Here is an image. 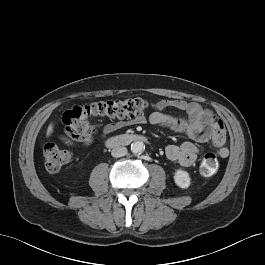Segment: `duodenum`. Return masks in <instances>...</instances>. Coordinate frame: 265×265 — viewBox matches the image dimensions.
<instances>
[{
	"instance_id": "410a0bca",
	"label": "duodenum",
	"mask_w": 265,
	"mask_h": 265,
	"mask_svg": "<svg viewBox=\"0 0 265 265\" xmlns=\"http://www.w3.org/2000/svg\"><path fill=\"white\" fill-rule=\"evenodd\" d=\"M144 137L138 134H123L110 137L106 141V145L110 148L129 145L134 142L143 141Z\"/></svg>"
}]
</instances>
